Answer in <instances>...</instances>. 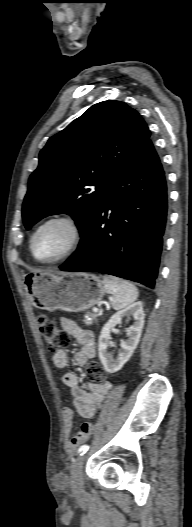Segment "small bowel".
Segmentation results:
<instances>
[{"label": "small bowel", "instance_id": "1", "mask_svg": "<svg viewBox=\"0 0 192 527\" xmlns=\"http://www.w3.org/2000/svg\"><path fill=\"white\" fill-rule=\"evenodd\" d=\"M62 327L71 334L80 349L75 353L74 360L78 366H84L89 359L95 356V339L91 330L81 328L76 322L69 318L60 319ZM53 363L57 368H65L68 365V353L63 350H57L53 354ZM62 382L70 390L73 399V407L63 409L64 418V449L68 453L74 452L93 431V424L85 422L81 425L80 431L72 436L74 412H77L83 418H92L95 412L102 405L107 393L112 387L111 383L96 385L87 384V390L79 382L77 375L73 372H67L62 375Z\"/></svg>", "mask_w": 192, "mask_h": 527}]
</instances>
